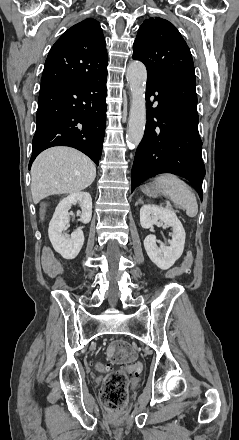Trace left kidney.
<instances>
[{
	"label": "left kidney",
	"instance_id": "5707ae66",
	"mask_svg": "<svg viewBox=\"0 0 239 440\" xmlns=\"http://www.w3.org/2000/svg\"><path fill=\"white\" fill-rule=\"evenodd\" d=\"M160 222L172 228L173 234L170 246L160 244V248H158L156 236L150 234L144 240V248L153 264H156L160 270H169L183 254L185 230L176 214L171 212V210L152 206V204L142 206L140 210V224L142 228L148 230V228H152L153 224H160Z\"/></svg>",
	"mask_w": 239,
	"mask_h": 440
}]
</instances>
